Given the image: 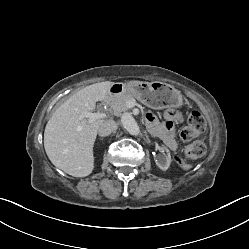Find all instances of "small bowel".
Returning a JSON list of instances; mask_svg holds the SVG:
<instances>
[{"instance_id": "obj_1", "label": "small bowel", "mask_w": 249, "mask_h": 249, "mask_svg": "<svg viewBox=\"0 0 249 249\" xmlns=\"http://www.w3.org/2000/svg\"><path fill=\"white\" fill-rule=\"evenodd\" d=\"M165 119H166V123H165V127L166 129L170 130L173 128V122L177 119H179V114L175 111H166L165 114ZM147 120L150 123L151 126L155 127L156 126V118L154 116L153 113H148L147 114Z\"/></svg>"}]
</instances>
